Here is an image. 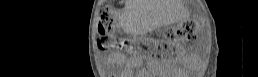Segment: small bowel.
Listing matches in <instances>:
<instances>
[{
	"label": "small bowel",
	"mask_w": 258,
	"mask_h": 77,
	"mask_svg": "<svg viewBox=\"0 0 258 77\" xmlns=\"http://www.w3.org/2000/svg\"><path fill=\"white\" fill-rule=\"evenodd\" d=\"M124 63V66H125V69H128V70H131L133 69V67L137 66L140 61L138 58H127V59H124L123 61ZM131 71H125V73H130Z\"/></svg>",
	"instance_id": "obj_1"
}]
</instances>
